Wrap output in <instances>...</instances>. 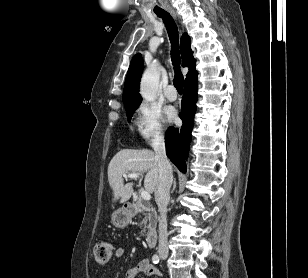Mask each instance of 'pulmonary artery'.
I'll return each mask as SVG.
<instances>
[{
  "mask_svg": "<svg viewBox=\"0 0 308 278\" xmlns=\"http://www.w3.org/2000/svg\"><path fill=\"white\" fill-rule=\"evenodd\" d=\"M164 94L169 101H175L177 99V92L173 85H168Z\"/></svg>",
  "mask_w": 308,
  "mask_h": 278,
  "instance_id": "1",
  "label": "pulmonary artery"
}]
</instances>
